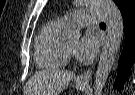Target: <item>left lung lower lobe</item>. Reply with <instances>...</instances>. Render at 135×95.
I'll return each instance as SVG.
<instances>
[{"label":"left lung lower lobe","instance_id":"1","mask_svg":"<svg viewBox=\"0 0 135 95\" xmlns=\"http://www.w3.org/2000/svg\"><path fill=\"white\" fill-rule=\"evenodd\" d=\"M124 26V46L118 61V73L114 82V87L121 89L124 80L129 75L131 65L135 60V3L134 5L121 13Z\"/></svg>","mask_w":135,"mask_h":95}]
</instances>
